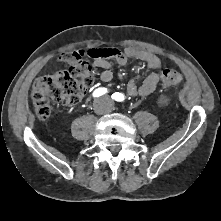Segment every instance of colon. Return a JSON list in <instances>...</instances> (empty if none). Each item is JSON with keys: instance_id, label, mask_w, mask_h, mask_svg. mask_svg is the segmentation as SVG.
Segmentation results:
<instances>
[{"instance_id": "obj_1", "label": "colon", "mask_w": 221, "mask_h": 221, "mask_svg": "<svg viewBox=\"0 0 221 221\" xmlns=\"http://www.w3.org/2000/svg\"><path fill=\"white\" fill-rule=\"evenodd\" d=\"M107 54L104 49L89 51L78 49L63 52L60 55L63 69L41 76L33 84L31 98L37 118L41 121L46 120L51 114L53 102L68 105L77 103L94 82L91 67L85 58ZM183 81V76L174 70H164L161 74L163 90L181 84Z\"/></svg>"}]
</instances>
